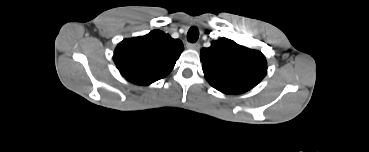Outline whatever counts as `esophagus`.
Segmentation results:
<instances>
[{
	"label": "esophagus",
	"mask_w": 369,
	"mask_h": 152,
	"mask_svg": "<svg viewBox=\"0 0 369 152\" xmlns=\"http://www.w3.org/2000/svg\"><path fill=\"white\" fill-rule=\"evenodd\" d=\"M187 48L192 49V50H199L200 44L199 43H188Z\"/></svg>",
	"instance_id": "1"
}]
</instances>
